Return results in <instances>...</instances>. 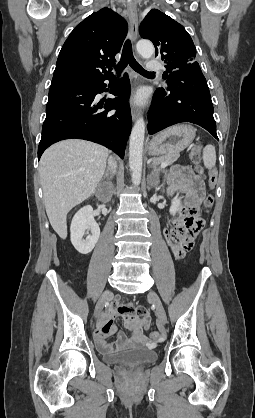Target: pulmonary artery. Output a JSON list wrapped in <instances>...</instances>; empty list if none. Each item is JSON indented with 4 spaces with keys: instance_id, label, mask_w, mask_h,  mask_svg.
<instances>
[{
    "instance_id": "e3ab8cb5",
    "label": "pulmonary artery",
    "mask_w": 255,
    "mask_h": 418,
    "mask_svg": "<svg viewBox=\"0 0 255 418\" xmlns=\"http://www.w3.org/2000/svg\"><path fill=\"white\" fill-rule=\"evenodd\" d=\"M161 68H162L161 64L156 60H150L147 63V70H149V71H156V70H159Z\"/></svg>"
}]
</instances>
